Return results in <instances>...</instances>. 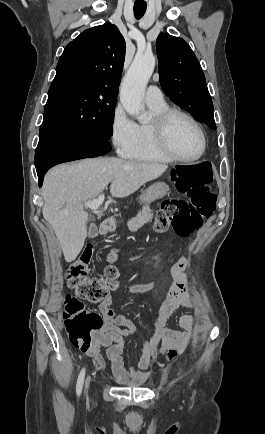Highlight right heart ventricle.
<instances>
[{"mask_svg":"<svg viewBox=\"0 0 265 434\" xmlns=\"http://www.w3.org/2000/svg\"><path fill=\"white\" fill-rule=\"evenodd\" d=\"M152 120L138 125V142L128 159L134 162L150 164H169L173 160L160 148L156 129L157 118L168 108L162 100L160 103L148 105Z\"/></svg>","mask_w":265,"mask_h":434,"instance_id":"right-heart-ventricle-1","label":"right heart ventricle"}]
</instances>
